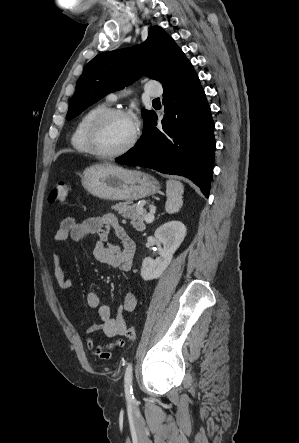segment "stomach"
Segmentation results:
<instances>
[{
  "mask_svg": "<svg viewBox=\"0 0 299 443\" xmlns=\"http://www.w3.org/2000/svg\"><path fill=\"white\" fill-rule=\"evenodd\" d=\"M82 185L92 195L112 201L138 200L159 190L158 181L149 174L113 164L87 168L82 175Z\"/></svg>",
  "mask_w": 299,
  "mask_h": 443,
  "instance_id": "stomach-1",
  "label": "stomach"
}]
</instances>
